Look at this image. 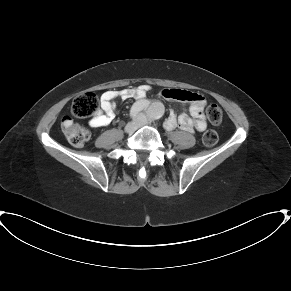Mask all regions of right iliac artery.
Segmentation results:
<instances>
[{
	"label": "right iliac artery",
	"mask_w": 291,
	"mask_h": 291,
	"mask_svg": "<svg viewBox=\"0 0 291 291\" xmlns=\"http://www.w3.org/2000/svg\"><path fill=\"white\" fill-rule=\"evenodd\" d=\"M139 109H137L135 106H133L130 110V117L135 118L137 114L139 113Z\"/></svg>",
	"instance_id": "obj_1"
}]
</instances>
